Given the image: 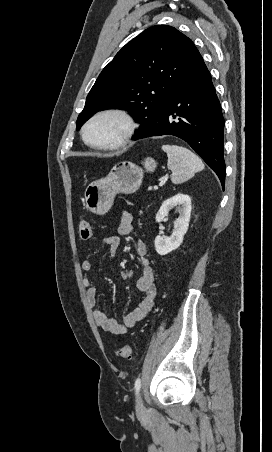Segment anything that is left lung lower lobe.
Masks as SVG:
<instances>
[{"instance_id": "0a47b994", "label": "left lung lower lobe", "mask_w": 272, "mask_h": 452, "mask_svg": "<svg viewBox=\"0 0 272 452\" xmlns=\"http://www.w3.org/2000/svg\"><path fill=\"white\" fill-rule=\"evenodd\" d=\"M164 134L185 140L224 186V118L210 72L198 50L177 81L158 122L137 131L133 139Z\"/></svg>"}]
</instances>
